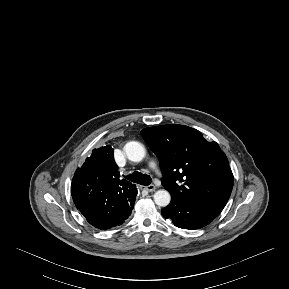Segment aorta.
Here are the masks:
<instances>
[{"instance_id":"aorta-1","label":"aorta","mask_w":289,"mask_h":289,"mask_svg":"<svg viewBox=\"0 0 289 289\" xmlns=\"http://www.w3.org/2000/svg\"><path fill=\"white\" fill-rule=\"evenodd\" d=\"M127 158L133 162H140L145 157V148L137 141H130L124 147ZM171 196L167 190H158L154 194L155 204L165 207L170 203Z\"/></svg>"}]
</instances>
